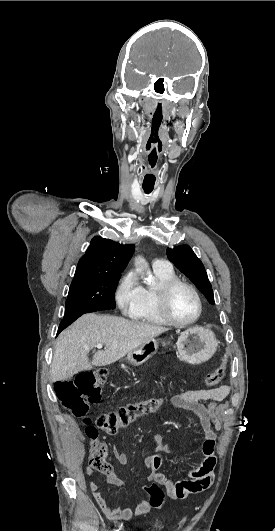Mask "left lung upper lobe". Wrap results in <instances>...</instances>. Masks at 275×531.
I'll list each match as a JSON object with an SVG mask.
<instances>
[{
	"label": "left lung upper lobe",
	"instance_id": "1",
	"mask_svg": "<svg viewBox=\"0 0 275 531\" xmlns=\"http://www.w3.org/2000/svg\"><path fill=\"white\" fill-rule=\"evenodd\" d=\"M169 260L185 274L204 294L209 303L214 304L212 286L203 263L188 245H180L166 250Z\"/></svg>",
	"mask_w": 275,
	"mask_h": 531
}]
</instances>
